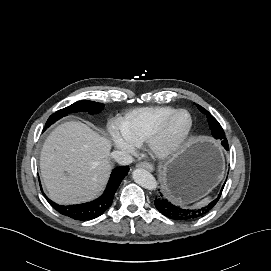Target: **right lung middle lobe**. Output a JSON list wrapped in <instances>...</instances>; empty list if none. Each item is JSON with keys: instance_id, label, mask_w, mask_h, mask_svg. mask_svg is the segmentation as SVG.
Listing matches in <instances>:
<instances>
[{"instance_id": "obj_1", "label": "right lung middle lobe", "mask_w": 271, "mask_h": 271, "mask_svg": "<svg viewBox=\"0 0 271 271\" xmlns=\"http://www.w3.org/2000/svg\"><path fill=\"white\" fill-rule=\"evenodd\" d=\"M102 103H96L93 101H78L72 105L60 109L52 114L46 122L44 130H46L50 125L55 123L60 118L68 115L69 113L88 111L90 114L98 113L103 108Z\"/></svg>"}]
</instances>
